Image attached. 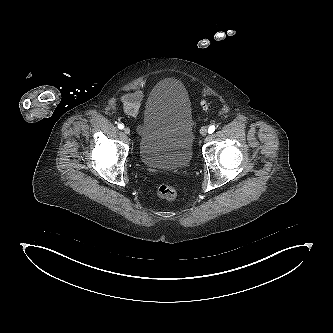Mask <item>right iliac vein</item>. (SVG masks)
Returning a JSON list of instances; mask_svg holds the SVG:
<instances>
[{
	"label": "right iliac vein",
	"mask_w": 333,
	"mask_h": 333,
	"mask_svg": "<svg viewBox=\"0 0 333 333\" xmlns=\"http://www.w3.org/2000/svg\"><path fill=\"white\" fill-rule=\"evenodd\" d=\"M124 133L125 134H130V128L129 127H125L124 128Z\"/></svg>",
	"instance_id": "1"
}]
</instances>
